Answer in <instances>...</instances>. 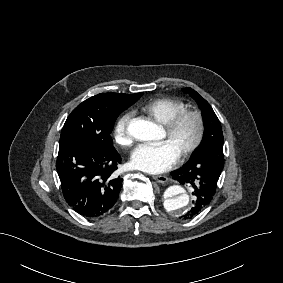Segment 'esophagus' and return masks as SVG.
I'll use <instances>...</instances> for the list:
<instances>
[{"instance_id":"34e87169","label":"esophagus","mask_w":283,"mask_h":283,"mask_svg":"<svg viewBox=\"0 0 283 283\" xmlns=\"http://www.w3.org/2000/svg\"><path fill=\"white\" fill-rule=\"evenodd\" d=\"M153 179L156 180L159 183H166L168 181V178L163 175H154Z\"/></svg>"}]
</instances>
